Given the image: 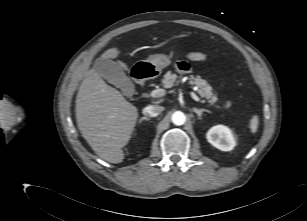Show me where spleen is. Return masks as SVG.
<instances>
[{
    "instance_id": "1",
    "label": "spleen",
    "mask_w": 307,
    "mask_h": 221,
    "mask_svg": "<svg viewBox=\"0 0 307 221\" xmlns=\"http://www.w3.org/2000/svg\"><path fill=\"white\" fill-rule=\"evenodd\" d=\"M259 124V118L257 115H253L250 122H249V128L251 133H256L258 129Z\"/></svg>"
}]
</instances>
